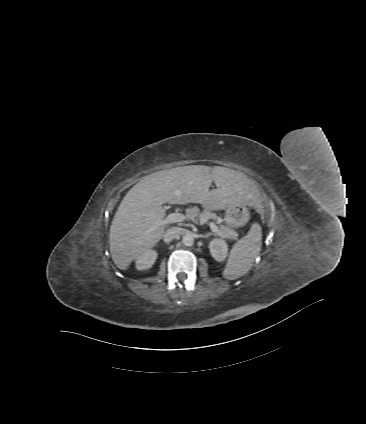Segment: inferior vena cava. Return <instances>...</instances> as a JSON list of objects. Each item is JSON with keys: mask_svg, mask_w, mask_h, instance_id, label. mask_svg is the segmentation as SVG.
<instances>
[{"mask_svg": "<svg viewBox=\"0 0 366 424\" xmlns=\"http://www.w3.org/2000/svg\"><path fill=\"white\" fill-rule=\"evenodd\" d=\"M182 234V229L179 227H172L166 231L163 236V240L165 243H169L174 239L178 238Z\"/></svg>", "mask_w": 366, "mask_h": 424, "instance_id": "obj_1", "label": "inferior vena cava"}]
</instances>
